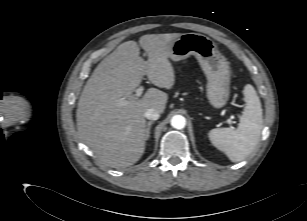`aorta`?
<instances>
[{"label":"aorta","mask_w":307,"mask_h":221,"mask_svg":"<svg viewBox=\"0 0 307 221\" xmlns=\"http://www.w3.org/2000/svg\"><path fill=\"white\" fill-rule=\"evenodd\" d=\"M186 125V119L182 115H175L171 118V126L176 129H183Z\"/></svg>","instance_id":"aorta-1"}]
</instances>
